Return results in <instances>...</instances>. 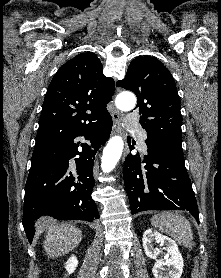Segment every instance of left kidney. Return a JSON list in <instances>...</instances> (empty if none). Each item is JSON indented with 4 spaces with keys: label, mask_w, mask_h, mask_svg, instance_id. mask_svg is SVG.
<instances>
[{
    "label": "left kidney",
    "mask_w": 221,
    "mask_h": 278,
    "mask_svg": "<svg viewBox=\"0 0 221 278\" xmlns=\"http://www.w3.org/2000/svg\"><path fill=\"white\" fill-rule=\"evenodd\" d=\"M154 242L164 246L170 258L167 261L157 259L159 249L154 247ZM143 248L147 257L155 259L152 273L155 278H180L183 272V258L178 245L171 238L152 229H147L143 234ZM167 266L168 268H165Z\"/></svg>",
    "instance_id": "1"
}]
</instances>
